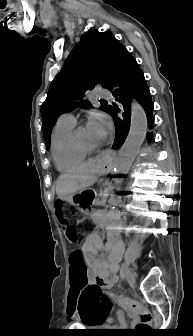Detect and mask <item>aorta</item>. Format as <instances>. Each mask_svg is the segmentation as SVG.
I'll return each instance as SVG.
<instances>
[{
    "mask_svg": "<svg viewBox=\"0 0 193 336\" xmlns=\"http://www.w3.org/2000/svg\"><path fill=\"white\" fill-rule=\"evenodd\" d=\"M147 126V116L143 107L138 102L133 101L131 103L130 130L119 151L118 160L115 165V173L117 175L126 174L130 170L145 139Z\"/></svg>",
    "mask_w": 193,
    "mask_h": 336,
    "instance_id": "762f6f07",
    "label": "aorta"
}]
</instances>
